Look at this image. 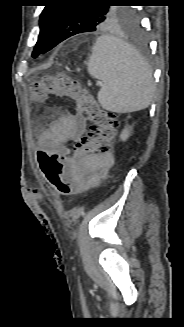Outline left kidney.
Wrapping results in <instances>:
<instances>
[{"instance_id": "left-kidney-1", "label": "left kidney", "mask_w": 184, "mask_h": 327, "mask_svg": "<svg viewBox=\"0 0 184 327\" xmlns=\"http://www.w3.org/2000/svg\"><path fill=\"white\" fill-rule=\"evenodd\" d=\"M130 131H131L130 127H125V129H123V131L120 134L121 141H126L128 139V137L130 136Z\"/></svg>"}]
</instances>
